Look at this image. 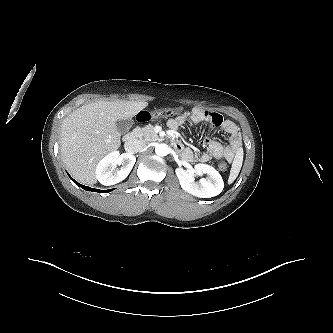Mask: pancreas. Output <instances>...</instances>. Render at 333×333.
I'll use <instances>...</instances> for the list:
<instances>
[{"label": "pancreas", "instance_id": "pancreas-1", "mask_svg": "<svg viewBox=\"0 0 333 333\" xmlns=\"http://www.w3.org/2000/svg\"><path fill=\"white\" fill-rule=\"evenodd\" d=\"M133 132L137 138L144 140L146 142H151L158 139V135L154 131V126L152 125H146L144 127H136Z\"/></svg>", "mask_w": 333, "mask_h": 333}]
</instances>
